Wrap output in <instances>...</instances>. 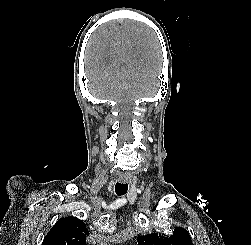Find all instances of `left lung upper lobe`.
I'll return each mask as SVG.
<instances>
[{
    "mask_svg": "<svg viewBox=\"0 0 251 245\" xmlns=\"http://www.w3.org/2000/svg\"><path fill=\"white\" fill-rule=\"evenodd\" d=\"M138 245H193L189 233L181 227L174 229L171 236L165 234H147L137 238Z\"/></svg>",
    "mask_w": 251,
    "mask_h": 245,
    "instance_id": "5c2ea615",
    "label": "left lung upper lobe"
}]
</instances>
